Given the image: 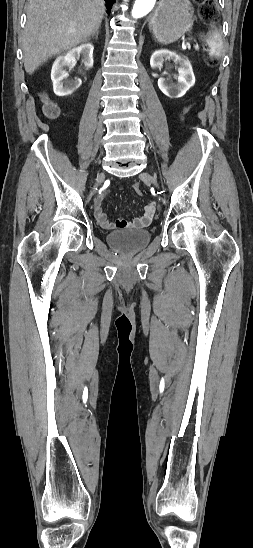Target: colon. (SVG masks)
I'll list each match as a JSON object with an SVG mask.
<instances>
[{
	"label": "colon",
	"instance_id": "5ec220e1",
	"mask_svg": "<svg viewBox=\"0 0 253 548\" xmlns=\"http://www.w3.org/2000/svg\"><path fill=\"white\" fill-rule=\"evenodd\" d=\"M199 15L205 22H210L217 14L215 0H199ZM209 65H215L217 61L214 58L207 60ZM45 113L48 116H55L57 114V108L54 104L47 102L45 107ZM133 189L137 195H142V190L139 183L133 185Z\"/></svg>",
	"mask_w": 253,
	"mask_h": 548
}]
</instances>
